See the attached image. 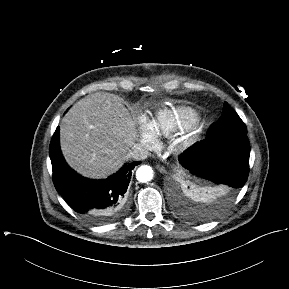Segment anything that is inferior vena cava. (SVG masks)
I'll use <instances>...</instances> for the list:
<instances>
[{
	"label": "inferior vena cava",
	"mask_w": 289,
	"mask_h": 289,
	"mask_svg": "<svg viewBox=\"0 0 289 289\" xmlns=\"http://www.w3.org/2000/svg\"><path fill=\"white\" fill-rule=\"evenodd\" d=\"M149 152L140 145H134L130 152L127 154V158L133 160H144L148 157Z\"/></svg>",
	"instance_id": "obj_1"
}]
</instances>
